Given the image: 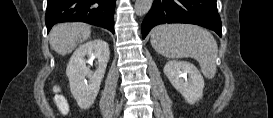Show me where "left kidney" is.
<instances>
[{"label": "left kidney", "mask_w": 273, "mask_h": 118, "mask_svg": "<svg viewBox=\"0 0 273 118\" xmlns=\"http://www.w3.org/2000/svg\"><path fill=\"white\" fill-rule=\"evenodd\" d=\"M164 73L187 103L195 104L202 98L204 79L193 64L184 61H168L164 67Z\"/></svg>", "instance_id": "obj_1"}]
</instances>
